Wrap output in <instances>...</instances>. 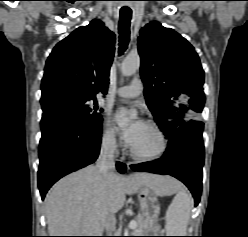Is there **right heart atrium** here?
<instances>
[{
	"instance_id": "right-heart-atrium-1",
	"label": "right heart atrium",
	"mask_w": 248,
	"mask_h": 237,
	"mask_svg": "<svg viewBox=\"0 0 248 237\" xmlns=\"http://www.w3.org/2000/svg\"><path fill=\"white\" fill-rule=\"evenodd\" d=\"M101 141L104 147L112 151H117L120 147L116 131L109 123L104 125Z\"/></svg>"
}]
</instances>
